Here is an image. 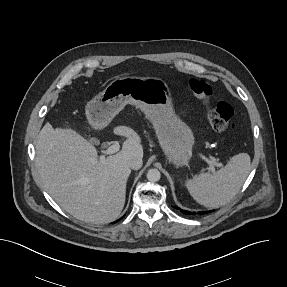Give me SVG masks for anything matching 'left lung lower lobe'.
I'll list each match as a JSON object with an SVG mask.
<instances>
[{
  "instance_id": "1",
  "label": "left lung lower lobe",
  "mask_w": 287,
  "mask_h": 287,
  "mask_svg": "<svg viewBox=\"0 0 287 287\" xmlns=\"http://www.w3.org/2000/svg\"><path fill=\"white\" fill-rule=\"evenodd\" d=\"M181 212H183L184 214H195L194 212L192 213V212H189V211H187V210H181ZM202 214H204V212H202Z\"/></svg>"
}]
</instances>
